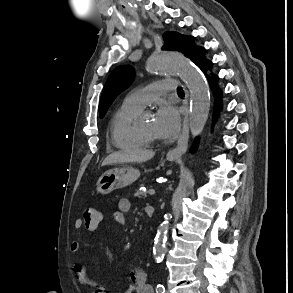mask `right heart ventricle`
I'll list each match as a JSON object with an SVG mask.
<instances>
[{
    "label": "right heart ventricle",
    "instance_id": "1",
    "mask_svg": "<svg viewBox=\"0 0 293 293\" xmlns=\"http://www.w3.org/2000/svg\"><path fill=\"white\" fill-rule=\"evenodd\" d=\"M140 111L122 104L115 113L111 121V142L116 148L124 151H138L149 146V142L134 124Z\"/></svg>",
    "mask_w": 293,
    "mask_h": 293
}]
</instances>
